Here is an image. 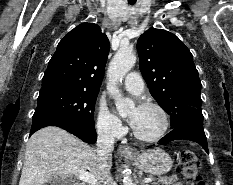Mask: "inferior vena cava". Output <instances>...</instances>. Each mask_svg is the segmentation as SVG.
Listing matches in <instances>:
<instances>
[{
	"label": "inferior vena cava",
	"instance_id": "inferior-vena-cava-1",
	"mask_svg": "<svg viewBox=\"0 0 233 185\" xmlns=\"http://www.w3.org/2000/svg\"><path fill=\"white\" fill-rule=\"evenodd\" d=\"M97 155L100 160L111 154L114 149L115 136L112 131L107 128H99L97 130ZM103 185H116L110 174V171H106L101 179Z\"/></svg>",
	"mask_w": 233,
	"mask_h": 185
}]
</instances>
